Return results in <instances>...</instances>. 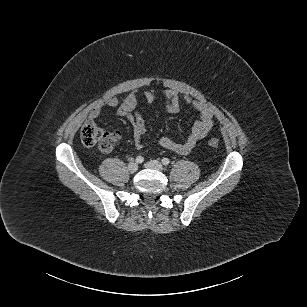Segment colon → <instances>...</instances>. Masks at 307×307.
<instances>
[{
	"label": "colon",
	"instance_id": "colon-1",
	"mask_svg": "<svg viewBox=\"0 0 307 307\" xmlns=\"http://www.w3.org/2000/svg\"><path fill=\"white\" fill-rule=\"evenodd\" d=\"M80 136L84 145H97L99 150L104 153L110 152L120 138L119 133L106 132L98 127L94 121H87L83 125ZM208 145L216 148L219 145V140L216 138H211L208 140Z\"/></svg>",
	"mask_w": 307,
	"mask_h": 307
}]
</instances>
